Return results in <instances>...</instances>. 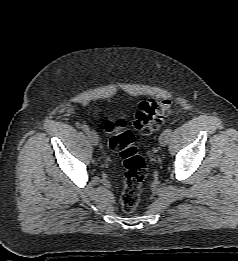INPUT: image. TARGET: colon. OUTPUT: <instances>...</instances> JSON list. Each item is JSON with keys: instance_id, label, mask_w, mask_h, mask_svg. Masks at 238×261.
Segmentation results:
<instances>
[{"instance_id": "obj_1", "label": "colon", "mask_w": 238, "mask_h": 261, "mask_svg": "<svg viewBox=\"0 0 238 261\" xmlns=\"http://www.w3.org/2000/svg\"><path fill=\"white\" fill-rule=\"evenodd\" d=\"M171 112L169 100L148 99L142 101L135 116L134 127L145 135L156 132L162 120ZM122 122L108 121L105 129L109 133L116 132ZM110 148L122 158L125 168L124 184L121 195V208L125 213L133 212L140 200L142 182L147 173L144 158L135 145V137L131 131L116 133L109 141Z\"/></svg>"}]
</instances>
